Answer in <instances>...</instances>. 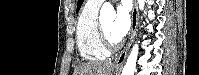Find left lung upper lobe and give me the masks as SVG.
<instances>
[{
    "mask_svg": "<svg viewBox=\"0 0 199 75\" xmlns=\"http://www.w3.org/2000/svg\"><path fill=\"white\" fill-rule=\"evenodd\" d=\"M83 1H84V0H78L76 12L79 11V9H80V7H81Z\"/></svg>",
    "mask_w": 199,
    "mask_h": 75,
    "instance_id": "obj_1",
    "label": "left lung upper lobe"
}]
</instances>
